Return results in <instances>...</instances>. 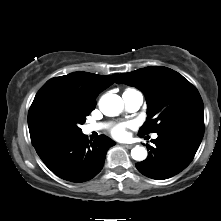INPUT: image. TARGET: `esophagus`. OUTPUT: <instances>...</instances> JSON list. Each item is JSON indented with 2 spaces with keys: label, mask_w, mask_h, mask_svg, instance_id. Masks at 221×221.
I'll return each mask as SVG.
<instances>
[{
  "label": "esophagus",
  "mask_w": 221,
  "mask_h": 221,
  "mask_svg": "<svg viewBox=\"0 0 221 221\" xmlns=\"http://www.w3.org/2000/svg\"><path fill=\"white\" fill-rule=\"evenodd\" d=\"M134 145L133 144H123V147L130 149L132 148Z\"/></svg>",
  "instance_id": "obj_1"
}]
</instances>
